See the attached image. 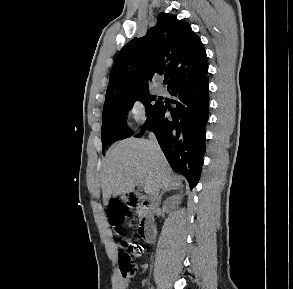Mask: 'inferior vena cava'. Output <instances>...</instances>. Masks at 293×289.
<instances>
[{
    "label": "inferior vena cava",
    "instance_id": "inferior-vena-cava-1",
    "mask_svg": "<svg viewBox=\"0 0 293 289\" xmlns=\"http://www.w3.org/2000/svg\"><path fill=\"white\" fill-rule=\"evenodd\" d=\"M149 142L152 144V146L159 148V145L157 143L156 137L153 133L149 134ZM159 202V189H156L152 193L151 197V208H155Z\"/></svg>",
    "mask_w": 293,
    "mask_h": 289
}]
</instances>
